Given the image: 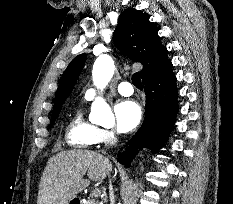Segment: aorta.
<instances>
[{"instance_id": "aorta-1", "label": "aorta", "mask_w": 233, "mask_h": 204, "mask_svg": "<svg viewBox=\"0 0 233 204\" xmlns=\"http://www.w3.org/2000/svg\"><path fill=\"white\" fill-rule=\"evenodd\" d=\"M114 61L108 55L99 56L92 70V77L95 86L103 89L110 82L114 74ZM89 120L92 123L100 125H108L114 123V115L110 106L102 97H97L92 103Z\"/></svg>"}]
</instances>
